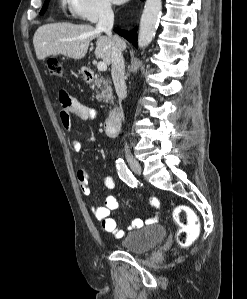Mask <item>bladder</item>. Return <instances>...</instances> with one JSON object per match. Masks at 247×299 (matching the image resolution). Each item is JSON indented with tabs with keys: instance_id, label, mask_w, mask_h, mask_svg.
Wrapping results in <instances>:
<instances>
[{
	"instance_id": "1",
	"label": "bladder",
	"mask_w": 247,
	"mask_h": 299,
	"mask_svg": "<svg viewBox=\"0 0 247 299\" xmlns=\"http://www.w3.org/2000/svg\"><path fill=\"white\" fill-rule=\"evenodd\" d=\"M165 235L162 225L152 224L126 235L120 240L119 246L131 253H144L156 247Z\"/></svg>"
}]
</instances>
